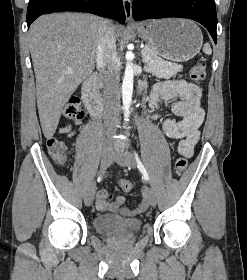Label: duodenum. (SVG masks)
<instances>
[{
  "label": "duodenum",
  "mask_w": 247,
  "mask_h": 280,
  "mask_svg": "<svg viewBox=\"0 0 247 280\" xmlns=\"http://www.w3.org/2000/svg\"><path fill=\"white\" fill-rule=\"evenodd\" d=\"M83 102L93 118H98L101 110V98L98 87V76L92 75L83 85Z\"/></svg>",
  "instance_id": "1"
}]
</instances>
